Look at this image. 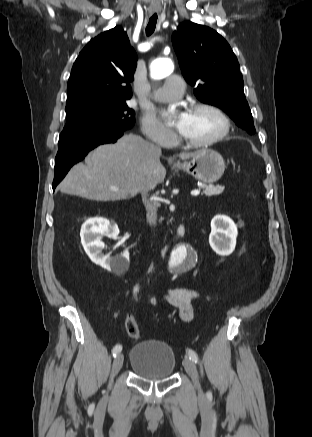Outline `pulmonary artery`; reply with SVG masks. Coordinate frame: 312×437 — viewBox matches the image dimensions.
Listing matches in <instances>:
<instances>
[{
    "label": "pulmonary artery",
    "mask_w": 312,
    "mask_h": 437,
    "mask_svg": "<svg viewBox=\"0 0 312 437\" xmlns=\"http://www.w3.org/2000/svg\"><path fill=\"white\" fill-rule=\"evenodd\" d=\"M184 81L178 75L168 77L165 83L152 95L156 101H172L179 99L184 93Z\"/></svg>",
    "instance_id": "1"
}]
</instances>
